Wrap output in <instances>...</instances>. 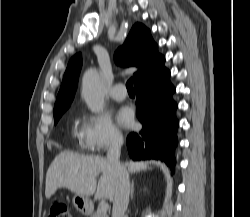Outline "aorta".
<instances>
[{"instance_id":"obj_1","label":"aorta","mask_w":250,"mask_h":217,"mask_svg":"<svg viewBox=\"0 0 250 217\" xmlns=\"http://www.w3.org/2000/svg\"><path fill=\"white\" fill-rule=\"evenodd\" d=\"M82 97L93 113L104 109L103 84L95 69H89L83 75Z\"/></svg>"}]
</instances>
